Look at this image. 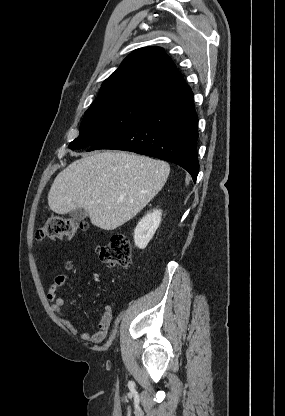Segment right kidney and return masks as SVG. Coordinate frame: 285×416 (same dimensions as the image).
I'll list each match as a JSON object with an SVG mask.
<instances>
[{"instance_id":"1","label":"right kidney","mask_w":285,"mask_h":416,"mask_svg":"<svg viewBox=\"0 0 285 416\" xmlns=\"http://www.w3.org/2000/svg\"><path fill=\"white\" fill-rule=\"evenodd\" d=\"M162 210H153L151 214H146L137 224L134 230V242L137 248L144 250L152 240L161 222Z\"/></svg>"}]
</instances>
